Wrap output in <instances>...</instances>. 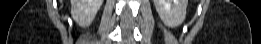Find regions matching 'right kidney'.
I'll return each instance as SVG.
<instances>
[{
  "label": "right kidney",
  "instance_id": "ca27d5eb",
  "mask_svg": "<svg viewBox=\"0 0 261 44\" xmlns=\"http://www.w3.org/2000/svg\"><path fill=\"white\" fill-rule=\"evenodd\" d=\"M103 0H71V14L81 27L89 26L94 20Z\"/></svg>",
  "mask_w": 261,
  "mask_h": 44
}]
</instances>
